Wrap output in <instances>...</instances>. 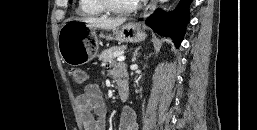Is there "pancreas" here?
Returning a JSON list of instances; mask_svg holds the SVG:
<instances>
[{
  "label": "pancreas",
  "mask_w": 257,
  "mask_h": 130,
  "mask_svg": "<svg viewBox=\"0 0 257 130\" xmlns=\"http://www.w3.org/2000/svg\"><path fill=\"white\" fill-rule=\"evenodd\" d=\"M126 49V46H114L111 47L109 49H106L104 51H102V53L98 56V59L100 61H102L103 63H107V64H114L115 63V59L117 57V53L121 52L123 50Z\"/></svg>",
  "instance_id": "cf45deb5"
}]
</instances>
